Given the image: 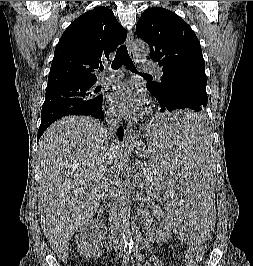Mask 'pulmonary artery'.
<instances>
[{
    "label": "pulmonary artery",
    "instance_id": "pulmonary-artery-1",
    "mask_svg": "<svg viewBox=\"0 0 253 266\" xmlns=\"http://www.w3.org/2000/svg\"><path fill=\"white\" fill-rule=\"evenodd\" d=\"M142 69L154 73L156 78L161 79L163 76V72L159 66L151 65L149 63L140 62ZM123 77V72L121 70H111L109 68H106L104 73L101 76V80L103 82H114L119 80Z\"/></svg>",
    "mask_w": 253,
    "mask_h": 266
}]
</instances>
